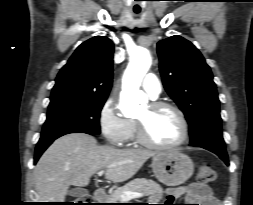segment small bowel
Instances as JSON below:
<instances>
[{
  "instance_id": "c3829d8e",
  "label": "small bowel",
  "mask_w": 253,
  "mask_h": 205,
  "mask_svg": "<svg viewBox=\"0 0 253 205\" xmlns=\"http://www.w3.org/2000/svg\"><path fill=\"white\" fill-rule=\"evenodd\" d=\"M186 196L190 205H219L218 200L213 196L211 188L202 183H191L168 191L167 201L171 202L175 198Z\"/></svg>"
}]
</instances>
